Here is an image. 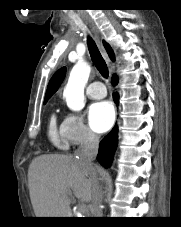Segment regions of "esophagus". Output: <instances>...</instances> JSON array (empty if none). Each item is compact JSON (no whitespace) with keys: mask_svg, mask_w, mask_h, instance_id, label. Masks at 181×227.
Segmentation results:
<instances>
[{"mask_svg":"<svg viewBox=\"0 0 181 227\" xmlns=\"http://www.w3.org/2000/svg\"><path fill=\"white\" fill-rule=\"evenodd\" d=\"M88 24H89V26L91 28L92 33L94 34V37H95L96 41L99 43L100 41H99V37H98V33H97V30H96V27L93 24H91V23H88Z\"/></svg>","mask_w":181,"mask_h":227,"instance_id":"esophagus-1","label":"esophagus"}]
</instances>
